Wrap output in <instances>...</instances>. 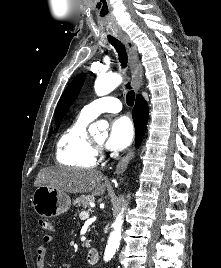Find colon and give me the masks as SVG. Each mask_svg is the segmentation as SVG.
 I'll return each mask as SVG.
<instances>
[{"label": "colon", "mask_w": 221, "mask_h": 268, "mask_svg": "<svg viewBox=\"0 0 221 268\" xmlns=\"http://www.w3.org/2000/svg\"><path fill=\"white\" fill-rule=\"evenodd\" d=\"M39 224H40V227L46 232H50L53 229L52 223L48 220L42 219L39 221Z\"/></svg>", "instance_id": "obj_1"}]
</instances>
